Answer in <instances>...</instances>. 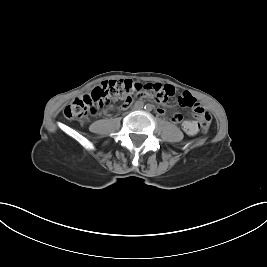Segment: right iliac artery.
<instances>
[{
    "label": "right iliac artery",
    "mask_w": 267,
    "mask_h": 267,
    "mask_svg": "<svg viewBox=\"0 0 267 267\" xmlns=\"http://www.w3.org/2000/svg\"><path fill=\"white\" fill-rule=\"evenodd\" d=\"M143 106H144V103H143L142 101H137V102L135 103V107H136V108H143Z\"/></svg>",
    "instance_id": "right-iliac-artery-1"
}]
</instances>
